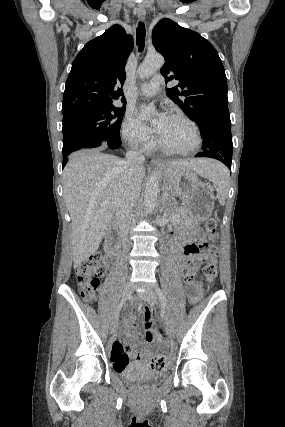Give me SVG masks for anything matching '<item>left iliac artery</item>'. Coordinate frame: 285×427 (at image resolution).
I'll return each instance as SVG.
<instances>
[{
	"instance_id": "left-iliac-artery-1",
	"label": "left iliac artery",
	"mask_w": 285,
	"mask_h": 427,
	"mask_svg": "<svg viewBox=\"0 0 285 427\" xmlns=\"http://www.w3.org/2000/svg\"><path fill=\"white\" fill-rule=\"evenodd\" d=\"M155 292L157 293V295L159 296L160 302H161V306L163 308L166 307V298L162 292V290L158 287L155 288Z\"/></svg>"
}]
</instances>
